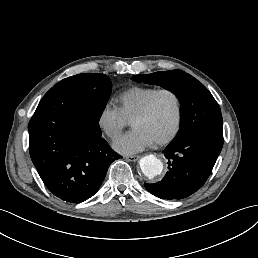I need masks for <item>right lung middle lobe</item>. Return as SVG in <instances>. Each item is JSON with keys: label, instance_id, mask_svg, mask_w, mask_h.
I'll use <instances>...</instances> for the list:
<instances>
[{"label": "right lung middle lobe", "instance_id": "1", "mask_svg": "<svg viewBox=\"0 0 258 258\" xmlns=\"http://www.w3.org/2000/svg\"><path fill=\"white\" fill-rule=\"evenodd\" d=\"M65 86L84 88L88 93L89 114L99 121L111 94V81L105 74H77L56 83L49 91Z\"/></svg>", "mask_w": 258, "mask_h": 258}]
</instances>
